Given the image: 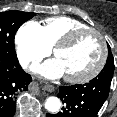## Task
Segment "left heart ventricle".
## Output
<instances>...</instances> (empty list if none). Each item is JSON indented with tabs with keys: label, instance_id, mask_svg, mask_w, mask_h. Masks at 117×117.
<instances>
[{
	"label": "left heart ventricle",
	"instance_id": "b2bd125f",
	"mask_svg": "<svg viewBox=\"0 0 117 117\" xmlns=\"http://www.w3.org/2000/svg\"><path fill=\"white\" fill-rule=\"evenodd\" d=\"M101 56V45L92 33L79 36L70 46L60 49L56 59L65 76H81L95 67Z\"/></svg>",
	"mask_w": 117,
	"mask_h": 117
}]
</instances>
